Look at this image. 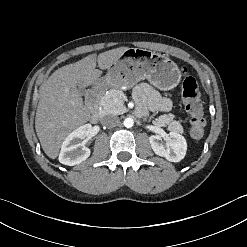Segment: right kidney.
I'll return each instance as SVG.
<instances>
[{
	"instance_id": "1",
	"label": "right kidney",
	"mask_w": 247,
	"mask_h": 247,
	"mask_svg": "<svg viewBox=\"0 0 247 247\" xmlns=\"http://www.w3.org/2000/svg\"><path fill=\"white\" fill-rule=\"evenodd\" d=\"M90 124L80 126L64 140L59 154V162L74 166L85 161L90 156V149L81 145V140L89 135Z\"/></svg>"
}]
</instances>
